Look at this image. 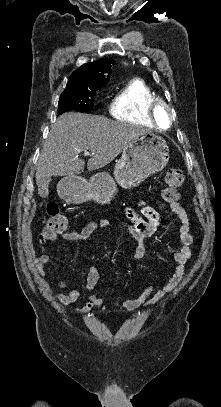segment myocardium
Listing matches in <instances>:
<instances>
[{
    "label": "myocardium",
    "instance_id": "myocardium-1",
    "mask_svg": "<svg viewBox=\"0 0 221 407\" xmlns=\"http://www.w3.org/2000/svg\"><path fill=\"white\" fill-rule=\"evenodd\" d=\"M149 109H150V115H151L152 122L158 129L166 130L171 127V125L173 123V110L169 103H167L166 101H164L161 98H157L151 102ZM161 109H165L168 113V124H167L166 128H161L158 124V112Z\"/></svg>",
    "mask_w": 221,
    "mask_h": 407
}]
</instances>
